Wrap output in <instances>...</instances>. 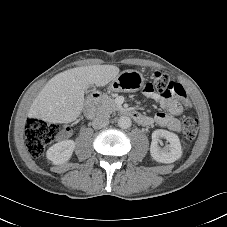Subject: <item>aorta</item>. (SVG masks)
<instances>
[{
  "label": "aorta",
  "instance_id": "obj_1",
  "mask_svg": "<svg viewBox=\"0 0 227 227\" xmlns=\"http://www.w3.org/2000/svg\"><path fill=\"white\" fill-rule=\"evenodd\" d=\"M131 125H132V121H131V118L128 116H121L118 119V126L122 129H127L131 127Z\"/></svg>",
  "mask_w": 227,
  "mask_h": 227
}]
</instances>
